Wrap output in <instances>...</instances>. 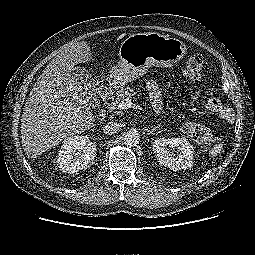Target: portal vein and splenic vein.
Wrapping results in <instances>:
<instances>
[{
    "label": "portal vein and splenic vein",
    "mask_w": 255,
    "mask_h": 255,
    "mask_svg": "<svg viewBox=\"0 0 255 255\" xmlns=\"http://www.w3.org/2000/svg\"><path fill=\"white\" fill-rule=\"evenodd\" d=\"M133 106L132 100L130 98H125L120 101L117 105L119 110H126Z\"/></svg>",
    "instance_id": "obj_1"
}]
</instances>
